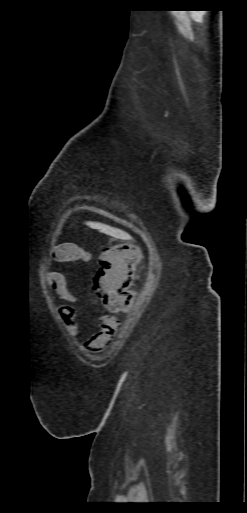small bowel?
I'll list each match as a JSON object with an SVG mask.
<instances>
[{
  "label": "small bowel",
  "instance_id": "obj_1",
  "mask_svg": "<svg viewBox=\"0 0 247 513\" xmlns=\"http://www.w3.org/2000/svg\"><path fill=\"white\" fill-rule=\"evenodd\" d=\"M76 246L72 243L63 244L53 250L54 258L59 262H69L74 259ZM44 283L49 288H53L57 294L68 304L59 309L66 330L70 334H76L78 326L75 322L77 308L73 305L77 298L70 292L65 275L58 271H49L44 276ZM119 322L114 316L102 318L100 331L94 335L87 343V349L92 353L105 351L112 343L117 334Z\"/></svg>",
  "mask_w": 247,
  "mask_h": 513
}]
</instances>
